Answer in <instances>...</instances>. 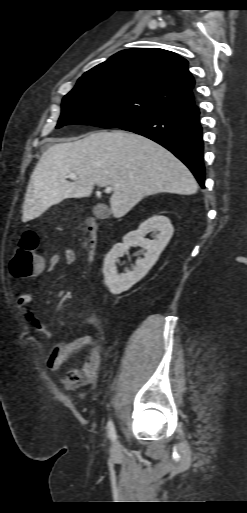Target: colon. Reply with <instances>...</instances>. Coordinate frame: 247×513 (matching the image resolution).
Returning a JSON list of instances; mask_svg holds the SVG:
<instances>
[{"instance_id": "colon-1", "label": "colon", "mask_w": 247, "mask_h": 513, "mask_svg": "<svg viewBox=\"0 0 247 513\" xmlns=\"http://www.w3.org/2000/svg\"><path fill=\"white\" fill-rule=\"evenodd\" d=\"M38 238L32 231L25 232L16 248L10 263V273L14 279L30 277L42 267L37 255Z\"/></svg>"}]
</instances>
